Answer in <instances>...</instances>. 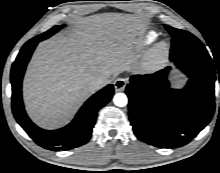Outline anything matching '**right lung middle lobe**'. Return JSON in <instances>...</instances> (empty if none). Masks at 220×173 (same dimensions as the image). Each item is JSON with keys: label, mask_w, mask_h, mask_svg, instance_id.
<instances>
[{"label": "right lung middle lobe", "mask_w": 220, "mask_h": 173, "mask_svg": "<svg viewBox=\"0 0 220 173\" xmlns=\"http://www.w3.org/2000/svg\"><path fill=\"white\" fill-rule=\"evenodd\" d=\"M62 27H64V25L62 26H54L53 28H51L50 30H48L47 32L41 34V35H38L36 36L37 39H41L44 40V39H47L48 37L52 36L53 34H55L59 29H61Z\"/></svg>", "instance_id": "right-lung-middle-lobe-1"}]
</instances>
